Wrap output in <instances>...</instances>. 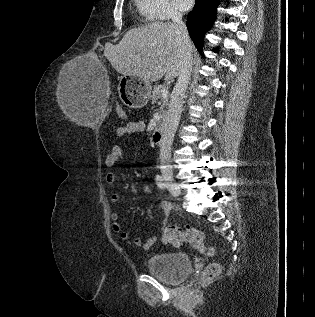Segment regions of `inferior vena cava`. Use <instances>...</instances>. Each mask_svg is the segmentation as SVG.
Masks as SVG:
<instances>
[{
  "label": "inferior vena cava",
  "instance_id": "1",
  "mask_svg": "<svg viewBox=\"0 0 315 317\" xmlns=\"http://www.w3.org/2000/svg\"><path fill=\"white\" fill-rule=\"evenodd\" d=\"M171 18L178 27V35L182 42L183 63L164 119L163 139L160 144V161L163 164H167L171 158V146L179 124L183 98L192 72V43L185 23L182 21V14L173 12ZM164 170H169V167L165 166Z\"/></svg>",
  "mask_w": 315,
  "mask_h": 317
}]
</instances>
